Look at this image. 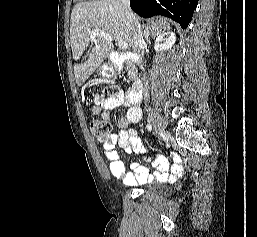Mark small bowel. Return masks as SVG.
Returning <instances> with one entry per match:
<instances>
[{"instance_id": "obj_1", "label": "small bowel", "mask_w": 257, "mask_h": 237, "mask_svg": "<svg viewBox=\"0 0 257 237\" xmlns=\"http://www.w3.org/2000/svg\"><path fill=\"white\" fill-rule=\"evenodd\" d=\"M121 106L127 107L126 116L115 120L118 132L112 134L111 138L104 143L102 148V152L107 159L110 174L120 179L126 187L153 180L160 182L174 181L176 176L182 173L181 162L176 159L170 172L169 163L165 157L145 150L136 130L132 127L140 121L142 111L140 107L125 97L123 91H118L115 95L108 98L97 100L95 105L91 107V112L94 115H100L104 119H109L110 115L107 111ZM117 148L122 149L126 153L135 152L141 159L149 161L156 168V171L150 174L148 168L140 163H132V171H126Z\"/></svg>"}]
</instances>
